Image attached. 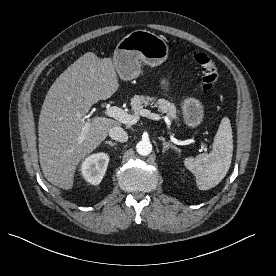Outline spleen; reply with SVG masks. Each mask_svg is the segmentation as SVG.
<instances>
[{
    "label": "spleen",
    "mask_w": 276,
    "mask_h": 276,
    "mask_svg": "<svg viewBox=\"0 0 276 276\" xmlns=\"http://www.w3.org/2000/svg\"><path fill=\"white\" fill-rule=\"evenodd\" d=\"M233 155V136L230 120L224 117L214 138L212 151L196 158L187 157L185 167L194 173L200 190H208L219 184L226 176Z\"/></svg>",
    "instance_id": "1"
}]
</instances>
